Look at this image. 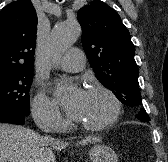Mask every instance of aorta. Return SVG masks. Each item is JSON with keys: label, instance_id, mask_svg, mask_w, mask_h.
<instances>
[{"label": "aorta", "instance_id": "762f6f07", "mask_svg": "<svg viewBox=\"0 0 168 162\" xmlns=\"http://www.w3.org/2000/svg\"><path fill=\"white\" fill-rule=\"evenodd\" d=\"M80 26L77 22L57 23L50 35L46 48V59L53 61L64 54L79 38Z\"/></svg>", "mask_w": 168, "mask_h": 162}]
</instances>
